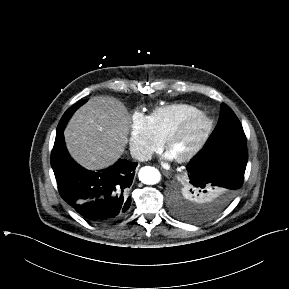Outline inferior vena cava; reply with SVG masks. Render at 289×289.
<instances>
[{
	"label": "inferior vena cava",
	"mask_w": 289,
	"mask_h": 289,
	"mask_svg": "<svg viewBox=\"0 0 289 289\" xmlns=\"http://www.w3.org/2000/svg\"><path fill=\"white\" fill-rule=\"evenodd\" d=\"M131 156L133 159L144 162L151 159L152 155L150 152L142 149H131Z\"/></svg>",
	"instance_id": "1"
}]
</instances>
